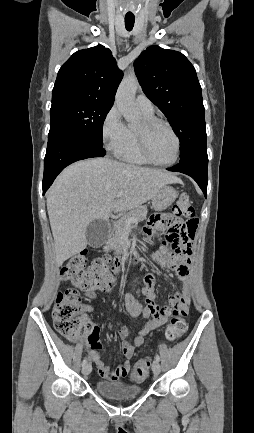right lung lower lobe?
Wrapping results in <instances>:
<instances>
[{
	"mask_svg": "<svg viewBox=\"0 0 254 433\" xmlns=\"http://www.w3.org/2000/svg\"><path fill=\"white\" fill-rule=\"evenodd\" d=\"M106 151L99 144L66 128L50 130L44 159L43 194L57 175L78 160L103 157Z\"/></svg>",
	"mask_w": 254,
	"mask_h": 433,
	"instance_id": "1",
	"label": "right lung lower lobe"
}]
</instances>
